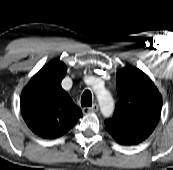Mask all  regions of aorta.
<instances>
[{"label": "aorta", "mask_w": 173, "mask_h": 170, "mask_svg": "<svg viewBox=\"0 0 173 170\" xmlns=\"http://www.w3.org/2000/svg\"><path fill=\"white\" fill-rule=\"evenodd\" d=\"M96 94L102 114L105 117L111 116L114 111V100L110 93L104 88H97Z\"/></svg>", "instance_id": "obj_1"}]
</instances>
